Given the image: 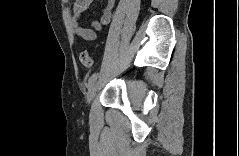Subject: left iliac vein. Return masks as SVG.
Instances as JSON below:
<instances>
[{"instance_id":"4c4485c4","label":"left iliac vein","mask_w":239,"mask_h":156,"mask_svg":"<svg viewBox=\"0 0 239 156\" xmlns=\"http://www.w3.org/2000/svg\"><path fill=\"white\" fill-rule=\"evenodd\" d=\"M98 85H99V82L98 81H95L92 86L90 87L89 89V92H88V95H87V102L88 103H91L95 94H96V91H97V88H98Z\"/></svg>"}]
</instances>
